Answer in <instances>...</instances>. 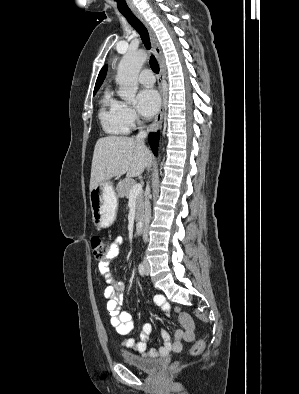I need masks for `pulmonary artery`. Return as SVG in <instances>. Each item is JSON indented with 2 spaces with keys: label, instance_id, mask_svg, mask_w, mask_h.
I'll return each mask as SVG.
<instances>
[{
  "label": "pulmonary artery",
  "instance_id": "obj_1",
  "mask_svg": "<svg viewBox=\"0 0 299 394\" xmlns=\"http://www.w3.org/2000/svg\"><path fill=\"white\" fill-rule=\"evenodd\" d=\"M138 80L141 84L145 86H151L155 82V77L151 70L144 69L139 74Z\"/></svg>",
  "mask_w": 299,
  "mask_h": 394
}]
</instances>
